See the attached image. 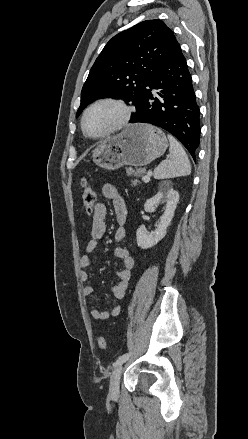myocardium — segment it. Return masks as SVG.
Wrapping results in <instances>:
<instances>
[{
  "label": "myocardium",
  "instance_id": "1",
  "mask_svg": "<svg viewBox=\"0 0 248 439\" xmlns=\"http://www.w3.org/2000/svg\"><path fill=\"white\" fill-rule=\"evenodd\" d=\"M101 104H113L116 105L122 112V116L120 121L112 128H110L109 130L98 134V135H92L89 134L86 130L85 127V121H86V117L88 115V113L95 108L98 105ZM132 108L131 106H129L124 100L119 99V98H115V97H103L100 99L95 100L94 102H92L83 112L82 114V118H81V129L83 134L91 139H102L105 138L111 134H114L118 131H121L122 129H124L125 127H127V125L129 124L131 117H132Z\"/></svg>",
  "mask_w": 248,
  "mask_h": 439
}]
</instances>
